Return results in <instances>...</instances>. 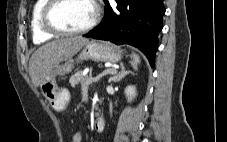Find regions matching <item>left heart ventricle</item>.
<instances>
[{
	"instance_id": "b2bd125f",
	"label": "left heart ventricle",
	"mask_w": 227,
	"mask_h": 142,
	"mask_svg": "<svg viewBox=\"0 0 227 142\" xmlns=\"http://www.w3.org/2000/svg\"><path fill=\"white\" fill-rule=\"evenodd\" d=\"M93 16L91 0H66L56 9L54 20L64 29H78L87 25Z\"/></svg>"
}]
</instances>
